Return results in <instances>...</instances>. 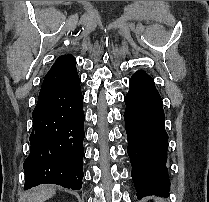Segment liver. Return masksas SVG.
Segmentation results:
<instances>
[{"instance_id": "6515ba94", "label": "liver", "mask_w": 209, "mask_h": 202, "mask_svg": "<svg viewBox=\"0 0 209 202\" xmlns=\"http://www.w3.org/2000/svg\"><path fill=\"white\" fill-rule=\"evenodd\" d=\"M55 194L52 187H41L32 191L28 197V202H44Z\"/></svg>"}]
</instances>
